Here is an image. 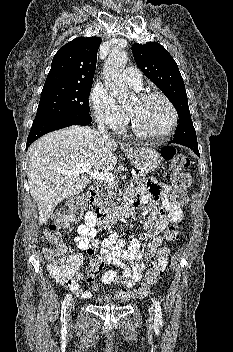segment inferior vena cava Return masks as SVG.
Returning <instances> with one entry per match:
<instances>
[{"label": "inferior vena cava", "mask_w": 233, "mask_h": 352, "mask_svg": "<svg viewBox=\"0 0 233 352\" xmlns=\"http://www.w3.org/2000/svg\"><path fill=\"white\" fill-rule=\"evenodd\" d=\"M98 132L102 135L103 139H109V135L107 133V130L105 129V126L103 123L99 121L98 123Z\"/></svg>", "instance_id": "obj_1"}]
</instances>
